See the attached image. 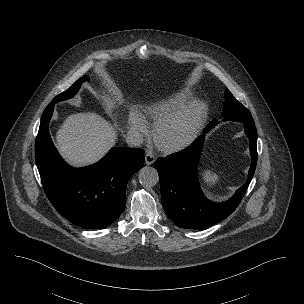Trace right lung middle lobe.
<instances>
[{
    "label": "right lung middle lobe",
    "mask_w": 304,
    "mask_h": 304,
    "mask_svg": "<svg viewBox=\"0 0 304 304\" xmlns=\"http://www.w3.org/2000/svg\"><path fill=\"white\" fill-rule=\"evenodd\" d=\"M86 80H88V78H86V76L80 78L68 90H66V91L62 92L61 94H59L58 96H56L52 102L56 103V102L73 97L79 90L82 82L86 81Z\"/></svg>",
    "instance_id": "obj_1"
}]
</instances>
